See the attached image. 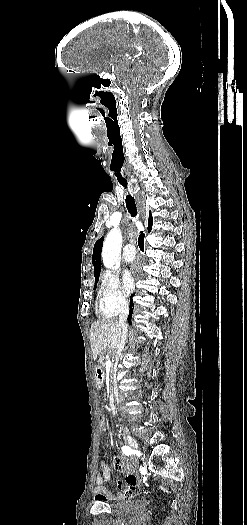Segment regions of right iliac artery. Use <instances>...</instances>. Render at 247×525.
<instances>
[{"instance_id": "1", "label": "right iliac artery", "mask_w": 247, "mask_h": 525, "mask_svg": "<svg viewBox=\"0 0 247 525\" xmlns=\"http://www.w3.org/2000/svg\"><path fill=\"white\" fill-rule=\"evenodd\" d=\"M122 451L125 455L129 456L132 454V449L128 446H123L122 447Z\"/></svg>"}]
</instances>
